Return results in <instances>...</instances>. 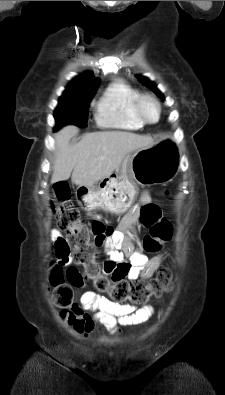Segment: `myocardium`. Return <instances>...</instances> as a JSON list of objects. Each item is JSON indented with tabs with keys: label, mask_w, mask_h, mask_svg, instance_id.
Listing matches in <instances>:
<instances>
[{
	"label": "myocardium",
	"mask_w": 225,
	"mask_h": 395,
	"mask_svg": "<svg viewBox=\"0 0 225 395\" xmlns=\"http://www.w3.org/2000/svg\"><path fill=\"white\" fill-rule=\"evenodd\" d=\"M146 102H150L154 105L156 112H157V116L154 120H151L149 118L146 117L145 113H144V104ZM134 113L136 115V117L139 119V121H141L144 125H153L158 123V121L161 118V114H162V107L160 104V101L151 94L148 93H143V94H139L135 101H134Z\"/></svg>",
	"instance_id": "obj_1"
}]
</instances>
